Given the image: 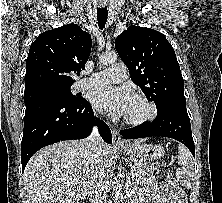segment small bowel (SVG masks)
I'll list each match as a JSON object with an SVG mask.
<instances>
[{"label":"small bowel","instance_id":"small-bowel-1","mask_svg":"<svg viewBox=\"0 0 222 203\" xmlns=\"http://www.w3.org/2000/svg\"><path fill=\"white\" fill-rule=\"evenodd\" d=\"M145 191L152 203H186L183 192L169 188L163 183L149 184Z\"/></svg>","mask_w":222,"mask_h":203}]
</instances>
